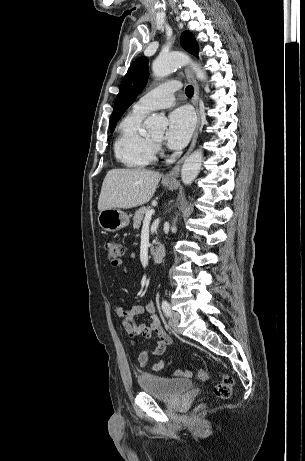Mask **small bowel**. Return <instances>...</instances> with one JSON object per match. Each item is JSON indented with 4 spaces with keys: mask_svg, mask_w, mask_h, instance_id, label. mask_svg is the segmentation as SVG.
I'll list each match as a JSON object with an SVG mask.
<instances>
[{
    "mask_svg": "<svg viewBox=\"0 0 305 461\" xmlns=\"http://www.w3.org/2000/svg\"><path fill=\"white\" fill-rule=\"evenodd\" d=\"M134 256L133 253L129 255L130 258H134ZM113 266L126 276L130 274L129 268L121 261L113 264ZM113 309L116 316L122 319V326L125 334L131 340L133 346H139L141 344V338L151 339L154 336L156 337V344L153 347L140 352L138 362L141 367L146 366L151 356L162 355L166 348L173 343L172 338L161 326L152 300H150L145 307L139 304L130 307L114 305ZM145 310L150 317V323L148 325L136 322V318L142 315ZM169 361L170 358L160 360L154 365L153 370L156 372L163 370ZM174 375L188 377L190 376V371L178 369L174 371Z\"/></svg>",
    "mask_w": 305,
    "mask_h": 461,
    "instance_id": "obj_1",
    "label": "small bowel"
}]
</instances>
